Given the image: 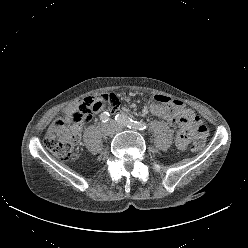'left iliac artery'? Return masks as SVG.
Masks as SVG:
<instances>
[{
	"label": "left iliac artery",
	"mask_w": 248,
	"mask_h": 248,
	"mask_svg": "<svg viewBox=\"0 0 248 248\" xmlns=\"http://www.w3.org/2000/svg\"><path fill=\"white\" fill-rule=\"evenodd\" d=\"M115 120L121 125L128 128H133L136 130H145L147 128V124L145 122L135 121L125 114H117L115 116Z\"/></svg>",
	"instance_id": "left-iliac-artery-1"
}]
</instances>
